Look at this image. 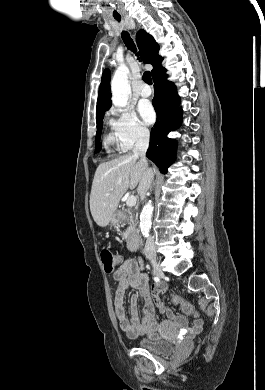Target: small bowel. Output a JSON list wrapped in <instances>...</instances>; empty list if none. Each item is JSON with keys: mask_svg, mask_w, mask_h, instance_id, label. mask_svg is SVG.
<instances>
[{"mask_svg": "<svg viewBox=\"0 0 265 390\" xmlns=\"http://www.w3.org/2000/svg\"><path fill=\"white\" fill-rule=\"evenodd\" d=\"M118 269L113 277L117 282L115 292L114 310L120 329L130 338L140 335L149 337L158 336L156 332L155 309L153 301L166 313L169 321L184 329L189 335L199 334L203 323L195 319L192 325L187 328V321L183 317L174 316L170 310L163 308L159 295L166 290L164 283L155 284L152 288L148 284V275L144 271L143 260L139 257L122 258L118 257ZM128 288L137 290L136 294L130 297V317L127 316L124 307V296ZM142 301V316L139 317L138 302Z\"/></svg>", "mask_w": 265, "mask_h": 390, "instance_id": "c3829d8e", "label": "small bowel"}]
</instances>
